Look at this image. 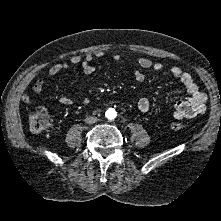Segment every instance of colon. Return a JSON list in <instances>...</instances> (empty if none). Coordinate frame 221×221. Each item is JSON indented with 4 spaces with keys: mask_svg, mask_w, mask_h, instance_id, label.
Wrapping results in <instances>:
<instances>
[{
    "mask_svg": "<svg viewBox=\"0 0 221 221\" xmlns=\"http://www.w3.org/2000/svg\"><path fill=\"white\" fill-rule=\"evenodd\" d=\"M30 129L37 134L47 132L52 126V119L44 108H38L29 117ZM171 129L174 131H184L187 124L183 120H176L171 123Z\"/></svg>",
    "mask_w": 221,
    "mask_h": 221,
    "instance_id": "colon-1",
    "label": "colon"
}]
</instances>
